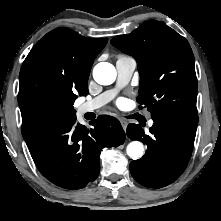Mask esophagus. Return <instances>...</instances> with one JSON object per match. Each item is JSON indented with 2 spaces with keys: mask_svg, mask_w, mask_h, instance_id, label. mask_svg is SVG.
<instances>
[{
  "mask_svg": "<svg viewBox=\"0 0 221 221\" xmlns=\"http://www.w3.org/2000/svg\"><path fill=\"white\" fill-rule=\"evenodd\" d=\"M120 122H121V125H122L123 129L126 130L128 122L124 119H121Z\"/></svg>",
  "mask_w": 221,
  "mask_h": 221,
  "instance_id": "obj_1",
  "label": "esophagus"
}]
</instances>
